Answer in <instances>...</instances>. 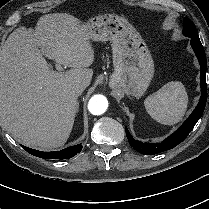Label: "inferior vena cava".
I'll use <instances>...</instances> for the list:
<instances>
[{"instance_id": "1", "label": "inferior vena cava", "mask_w": 209, "mask_h": 209, "mask_svg": "<svg viewBox=\"0 0 209 209\" xmlns=\"http://www.w3.org/2000/svg\"><path fill=\"white\" fill-rule=\"evenodd\" d=\"M86 87L87 86L84 83H78L75 86V91L79 95V94H81L85 90Z\"/></svg>"}]
</instances>
